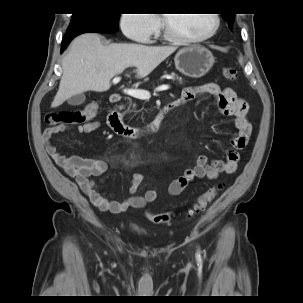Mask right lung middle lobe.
<instances>
[{
  "mask_svg": "<svg viewBox=\"0 0 303 303\" xmlns=\"http://www.w3.org/2000/svg\"><path fill=\"white\" fill-rule=\"evenodd\" d=\"M119 13H80L73 14L72 21L67 32H72L90 25H113L117 26Z\"/></svg>",
  "mask_w": 303,
  "mask_h": 303,
  "instance_id": "dd1d6c3e",
  "label": "right lung middle lobe"
}]
</instances>
